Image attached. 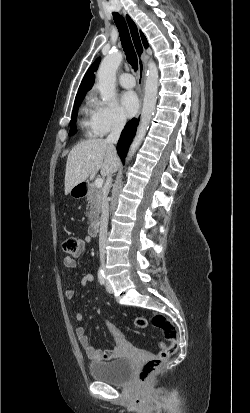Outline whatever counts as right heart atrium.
<instances>
[{
  "label": "right heart atrium",
  "mask_w": 250,
  "mask_h": 413,
  "mask_svg": "<svg viewBox=\"0 0 250 413\" xmlns=\"http://www.w3.org/2000/svg\"><path fill=\"white\" fill-rule=\"evenodd\" d=\"M93 121L95 131L100 136L121 131L126 125V117L115 101L95 102Z\"/></svg>",
  "instance_id": "obj_1"
}]
</instances>
